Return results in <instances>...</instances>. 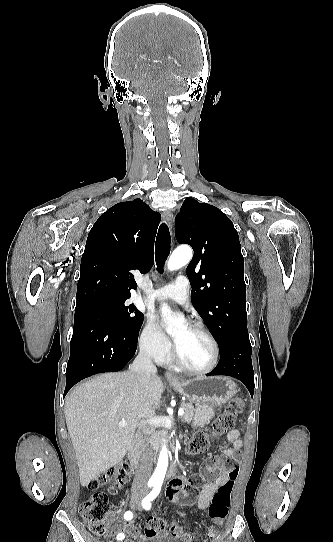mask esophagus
Masks as SVG:
<instances>
[{"mask_svg":"<svg viewBox=\"0 0 333 542\" xmlns=\"http://www.w3.org/2000/svg\"><path fill=\"white\" fill-rule=\"evenodd\" d=\"M162 215H163V218H164L165 222L168 224L169 227H171L172 226V219H173L172 213L169 210H166L165 212H163ZM165 377H166V379L168 380L169 383L179 382V378L176 375L169 372V371L165 372Z\"/></svg>","mask_w":333,"mask_h":542,"instance_id":"obj_1","label":"esophagus"}]
</instances>
